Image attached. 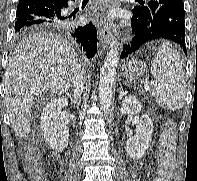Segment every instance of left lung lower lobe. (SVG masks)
Instances as JSON below:
<instances>
[{
    "mask_svg": "<svg viewBox=\"0 0 197 181\" xmlns=\"http://www.w3.org/2000/svg\"><path fill=\"white\" fill-rule=\"evenodd\" d=\"M184 7L182 1H173L161 5L149 21L132 19V30L135 36L125 45L121 58L139 50L144 44L156 39H168L182 47L187 54L185 45Z\"/></svg>",
    "mask_w": 197,
    "mask_h": 181,
    "instance_id": "obj_1",
    "label": "left lung lower lobe"
}]
</instances>
